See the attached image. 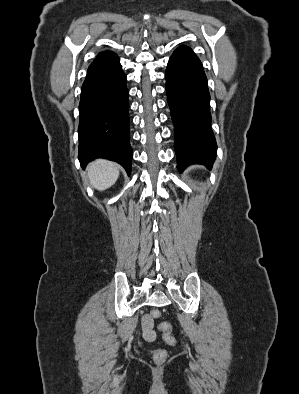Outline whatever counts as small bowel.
I'll return each instance as SVG.
<instances>
[{"label": "small bowel", "instance_id": "small-bowel-1", "mask_svg": "<svg viewBox=\"0 0 299 394\" xmlns=\"http://www.w3.org/2000/svg\"><path fill=\"white\" fill-rule=\"evenodd\" d=\"M154 322L150 315H145L142 319V336L148 341L152 342L157 339V334L153 329Z\"/></svg>", "mask_w": 299, "mask_h": 394}]
</instances>
